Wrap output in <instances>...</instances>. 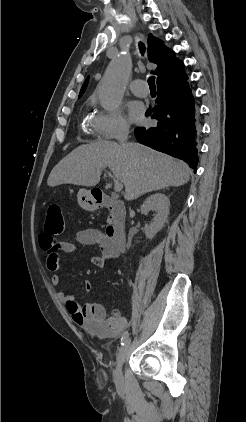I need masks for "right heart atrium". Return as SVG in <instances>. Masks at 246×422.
<instances>
[{
	"label": "right heart atrium",
	"mask_w": 246,
	"mask_h": 422,
	"mask_svg": "<svg viewBox=\"0 0 246 422\" xmlns=\"http://www.w3.org/2000/svg\"><path fill=\"white\" fill-rule=\"evenodd\" d=\"M91 127L99 139L114 140L125 136L130 124L120 111H101L91 120Z\"/></svg>",
	"instance_id": "right-heart-atrium-1"
}]
</instances>
